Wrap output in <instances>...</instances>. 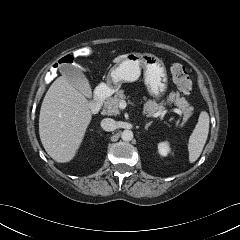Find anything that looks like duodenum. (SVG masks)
Returning a JSON list of instances; mask_svg holds the SVG:
<instances>
[{"instance_id": "obj_1", "label": "duodenum", "mask_w": 240, "mask_h": 240, "mask_svg": "<svg viewBox=\"0 0 240 240\" xmlns=\"http://www.w3.org/2000/svg\"><path fill=\"white\" fill-rule=\"evenodd\" d=\"M110 91V86L102 84L95 90L94 97L90 102V109L92 112H98L102 106V102Z\"/></svg>"}]
</instances>
